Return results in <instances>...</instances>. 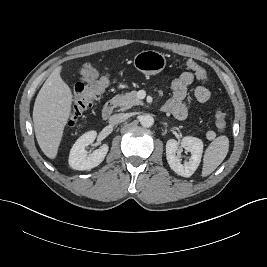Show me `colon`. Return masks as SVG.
I'll use <instances>...</instances> for the list:
<instances>
[{
	"label": "colon",
	"mask_w": 267,
	"mask_h": 267,
	"mask_svg": "<svg viewBox=\"0 0 267 267\" xmlns=\"http://www.w3.org/2000/svg\"><path fill=\"white\" fill-rule=\"evenodd\" d=\"M187 67L195 74V76L207 81L208 75L204 68L193 60H188ZM110 80L108 76H101L92 82H80L75 87L73 103L68 120V124L73 126L79 117L90 109L94 102L99 99L101 94L109 86ZM216 127L219 131H224L226 128V116L222 110H217L215 115Z\"/></svg>",
	"instance_id": "1"
}]
</instances>
